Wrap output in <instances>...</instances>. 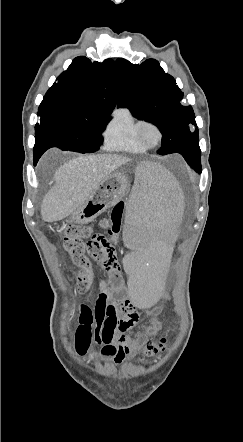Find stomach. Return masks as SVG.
I'll return each instance as SVG.
<instances>
[{"mask_svg": "<svg viewBox=\"0 0 243 442\" xmlns=\"http://www.w3.org/2000/svg\"><path fill=\"white\" fill-rule=\"evenodd\" d=\"M129 186L130 184L125 174L115 172L108 175L88 200L71 214V221L78 224L93 221L121 200L127 194Z\"/></svg>", "mask_w": 243, "mask_h": 442, "instance_id": "obj_1", "label": "stomach"}]
</instances>
